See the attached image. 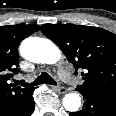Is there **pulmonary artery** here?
<instances>
[{"label": "pulmonary artery", "instance_id": "pulmonary-artery-1", "mask_svg": "<svg viewBox=\"0 0 116 116\" xmlns=\"http://www.w3.org/2000/svg\"><path fill=\"white\" fill-rule=\"evenodd\" d=\"M59 76H60V78H61L63 81H65V82H67V83H69V82L71 81L70 75H69L66 71H64V70H61V71L59 72Z\"/></svg>", "mask_w": 116, "mask_h": 116}]
</instances>
